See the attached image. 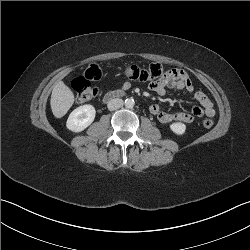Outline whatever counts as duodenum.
Here are the masks:
<instances>
[{"label":"duodenum","instance_id":"410a0bca","mask_svg":"<svg viewBox=\"0 0 250 250\" xmlns=\"http://www.w3.org/2000/svg\"><path fill=\"white\" fill-rule=\"evenodd\" d=\"M123 95H124V93L122 91H119V90H117V91H110V92H108V93H106L104 95L103 101L104 102H109V101H111L113 99H116L118 97H121Z\"/></svg>","mask_w":250,"mask_h":250}]
</instances>
